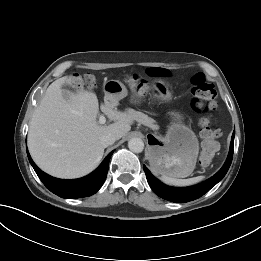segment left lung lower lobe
Instances as JSON below:
<instances>
[{
  "mask_svg": "<svg viewBox=\"0 0 261 261\" xmlns=\"http://www.w3.org/2000/svg\"><path fill=\"white\" fill-rule=\"evenodd\" d=\"M234 135L235 132H233L230 144V151L223 167L213 177L195 186L186 188H175L167 186L161 183L159 180H157L150 173L147 167L143 165V169L145 171L146 178L151 189L161 198L175 203H184L201 197L202 195L207 193L213 186H215L219 181H221L222 178L226 175L232 162Z\"/></svg>",
  "mask_w": 261,
  "mask_h": 261,
  "instance_id": "1",
  "label": "left lung lower lobe"
}]
</instances>
